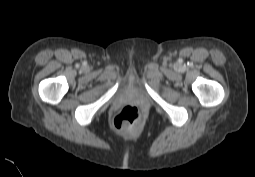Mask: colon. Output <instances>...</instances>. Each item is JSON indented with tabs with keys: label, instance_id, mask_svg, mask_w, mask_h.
<instances>
[{
	"label": "colon",
	"instance_id": "5ec220e1",
	"mask_svg": "<svg viewBox=\"0 0 255 177\" xmlns=\"http://www.w3.org/2000/svg\"><path fill=\"white\" fill-rule=\"evenodd\" d=\"M140 120V112L134 106L124 107L114 118V125L118 129L136 125Z\"/></svg>",
	"mask_w": 255,
	"mask_h": 177
}]
</instances>
